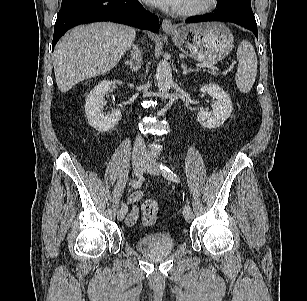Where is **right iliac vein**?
<instances>
[{
  "label": "right iliac vein",
  "instance_id": "obj_1",
  "mask_svg": "<svg viewBox=\"0 0 307 301\" xmlns=\"http://www.w3.org/2000/svg\"><path fill=\"white\" fill-rule=\"evenodd\" d=\"M132 165H133L134 174L137 177H140L142 175L143 171H144V168H145V161H144L143 156L134 157L133 161H132ZM125 215H126V212L124 210L120 209L117 212V219L119 221H122L125 218Z\"/></svg>",
  "mask_w": 307,
  "mask_h": 301
}]
</instances>
